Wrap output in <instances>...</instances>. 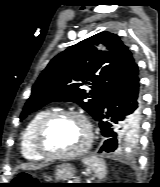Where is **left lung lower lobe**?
Returning <instances> with one entry per match:
<instances>
[{
  "instance_id": "0a47b994",
  "label": "left lung lower lobe",
  "mask_w": 160,
  "mask_h": 187,
  "mask_svg": "<svg viewBox=\"0 0 160 187\" xmlns=\"http://www.w3.org/2000/svg\"><path fill=\"white\" fill-rule=\"evenodd\" d=\"M140 115V77L138 65L134 62L126 78L104 97L94 118L99 122L102 135L107 138L99 153L113 152L117 148V137L121 130L137 126Z\"/></svg>"
}]
</instances>
